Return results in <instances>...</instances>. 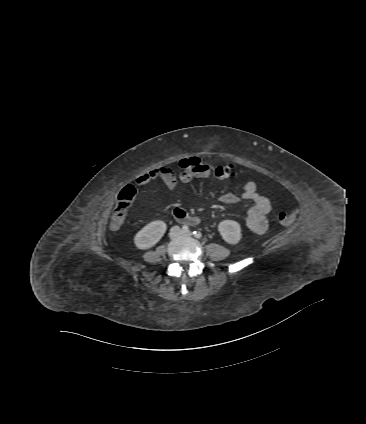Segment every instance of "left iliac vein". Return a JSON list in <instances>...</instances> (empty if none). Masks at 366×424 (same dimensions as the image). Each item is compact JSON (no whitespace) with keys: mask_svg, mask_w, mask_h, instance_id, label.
I'll use <instances>...</instances> for the list:
<instances>
[{"mask_svg":"<svg viewBox=\"0 0 366 424\" xmlns=\"http://www.w3.org/2000/svg\"><path fill=\"white\" fill-rule=\"evenodd\" d=\"M182 235L183 236H186V237H190L192 235V232H190V231H188V232H182Z\"/></svg>","mask_w":366,"mask_h":424,"instance_id":"4c4485c4","label":"left iliac vein"}]
</instances>
